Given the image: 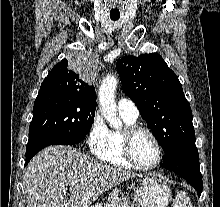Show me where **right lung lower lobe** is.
I'll return each instance as SVG.
<instances>
[{
    "label": "right lung lower lobe",
    "instance_id": "98d812e1",
    "mask_svg": "<svg viewBox=\"0 0 220 207\" xmlns=\"http://www.w3.org/2000/svg\"><path fill=\"white\" fill-rule=\"evenodd\" d=\"M78 142H73L72 144H69V145H73V144H76ZM44 147L43 146H40V145H37V144H33V145H27V148H26V163H25V166L27 165V163L31 160V158L36 155L41 149H43Z\"/></svg>",
    "mask_w": 220,
    "mask_h": 207
}]
</instances>
